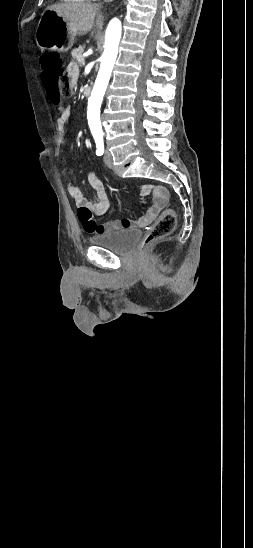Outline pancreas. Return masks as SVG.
I'll return each mask as SVG.
<instances>
[{"label":"pancreas","mask_w":253,"mask_h":548,"mask_svg":"<svg viewBox=\"0 0 253 548\" xmlns=\"http://www.w3.org/2000/svg\"><path fill=\"white\" fill-rule=\"evenodd\" d=\"M83 52H84V47L79 46L78 48H75L72 50L71 55L74 59H76V61L79 62V60L82 58Z\"/></svg>","instance_id":"pancreas-1"}]
</instances>
